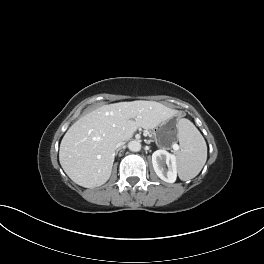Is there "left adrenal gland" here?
<instances>
[{
  "instance_id": "left-adrenal-gland-1",
  "label": "left adrenal gland",
  "mask_w": 264,
  "mask_h": 264,
  "mask_svg": "<svg viewBox=\"0 0 264 264\" xmlns=\"http://www.w3.org/2000/svg\"><path fill=\"white\" fill-rule=\"evenodd\" d=\"M151 141H152V140L147 141V144H150Z\"/></svg>"
}]
</instances>
